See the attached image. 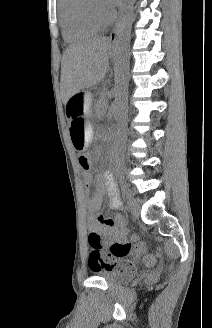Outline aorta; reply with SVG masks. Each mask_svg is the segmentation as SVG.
Here are the masks:
<instances>
[{
  "mask_svg": "<svg viewBox=\"0 0 212 328\" xmlns=\"http://www.w3.org/2000/svg\"><path fill=\"white\" fill-rule=\"evenodd\" d=\"M134 0H122L120 6V22L117 29L116 39V70H115V104H116V122L117 133L116 141L121 145L126 136L127 113H128V73H129V56L128 49L133 21ZM116 164L120 161L116 158ZM113 176H122L121 167H114Z\"/></svg>",
  "mask_w": 212,
  "mask_h": 328,
  "instance_id": "1",
  "label": "aorta"
}]
</instances>
